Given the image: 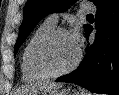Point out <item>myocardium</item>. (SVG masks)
<instances>
[{
  "instance_id": "myocardium-1",
  "label": "myocardium",
  "mask_w": 119,
  "mask_h": 95,
  "mask_svg": "<svg viewBox=\"0 0 119 95\" xmlns=\"http://www.w3.org/2000/svg\"><path fill=\"white\" fill-rule=\"evenodd\" d=\"M60 34H70V32L62 27L54 28L52 31L47 33L37 44L34 52V62L36 67L47 77L56 78L63 75H66L74 71L81 62L82 50L78 46L77 55L75 60L68 67L61 70H53L46 60L47 49L52 41L59 36Z\"/></svg>"
}]
</instances>
